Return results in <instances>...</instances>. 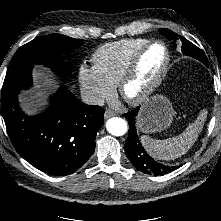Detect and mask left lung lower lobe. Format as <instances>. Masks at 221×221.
Listing matches in <instances>:
<instances>
[{"instance_id": "0a47b994", "label": "left lung lower lobe", "mask_w": 221, "mask_h": 221, "mask_svg": "<svg viewBox=\"0 0 221 221\" xmlns=\"http://www.w3.org/2000/svg\"><path fill=\"white\" fill-rule=\"evenodd\" d=\"M138 108L125 113L123 116L129 122V133L124 145L125 153L133 166L145 174L163 175L179 168L180 166H166L153 160L142 147L137 136L136 117Z\"/></svg>"}]
</instances>
